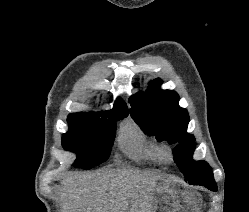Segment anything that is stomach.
<instances>
[{"instance_id": "obj_1", "label": "stomach", "mask_w": 249, "mask_h": 212, "mask_svg": "<svg viewBox=\"0 0 249 212\" xmlns=\"http://www.w3.org/2000/svg\"><path fill=\"white\" fill-rule=\"evenodd\" d=\"M152 202L157 212H200L202 206L200 194L173 180V175H162L156 182Z\"/></svg>"}]
</instances>
